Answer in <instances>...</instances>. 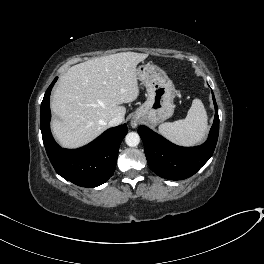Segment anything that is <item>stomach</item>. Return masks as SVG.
Segmentation results:
<instances>
[{
	"label": "stomach",
	"mask_w": 264,
	"mask_h": 264,
	"mask_svg": "<svg viewBox=\"0 0 264 264\" xmlns=\"http://www.w3.org/2000/svg\"><path fill=\"white\" fill-rule=\"evenodd\" d=\"M137 77L146 87L147 100L136 110L134 118L156 126L174 113L175 87L167 74L153 64L137 68Z\"/></svg>",
	"instance_id": "1"
}]
</instances>
